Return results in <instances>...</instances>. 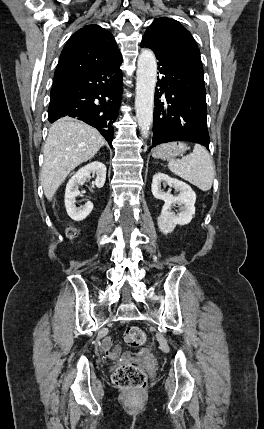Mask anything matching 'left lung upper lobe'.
<instances>
[{"mask_svg":"<svg viewBox=\"0 0 264 429\" xmlns=\"http://www.w3.org/2000/svg\"><path fill=\"white\" fill-rule=\"evenodd\" d=\"M144 35H148L180 52L189 60L196 71L203 75L198 46L190 32L178 21L166 17L155 19Z\"/></svg>","mask_w":264,"mask_h":429,"instance_id":"1","label":"left lung upper lobe"}]
</instances>
